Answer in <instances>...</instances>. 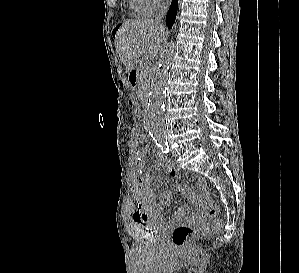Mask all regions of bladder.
<instances>
[{
    "instance_id": "bladder-1",
    "label": "bladder",
    "mask_w": 299,
    "mask_h": 273,
    "mask_svg": "<svg viewBox=\"0 0 299 273\" xmlns=\"http://www.w3.org/2000/svg\"><path fill=\"white\" fill-rule=\"evenodd\" d=\"M138 223L155 233H163L165 231L164 221L161 218L153 215L147 216Z\"/></svg>"
}]
</instances>
